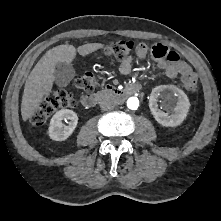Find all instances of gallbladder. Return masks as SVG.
Instances as JSON below:
<instances>
[{"label":"gallbladder","instance_id":"1","mask_svg":"<svg viewBox=\"0 0 221 221\" xmlns=\"http://www.w3.org/2000/svg\"><path fill=\"white\" fill-rule=\"evenodd\" d=\"M75 76V70L70 63L57 62L54 71V81L57 86H67Z\"/></svg>","mask_w":221,"mask_h":221}]
</instances>
